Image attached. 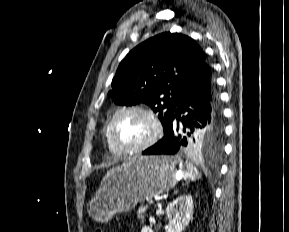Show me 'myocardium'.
<instances>
[{
  "mask_svg": "<svg viewBox=\"0 0 289 232\" xmlns=\"http://www.w3.org/2000/svg\"><path fill=\"white\" fill-rule=\"evenodd\" d=\"M127 112H138L143 114L150 122L151 127H152V131L150 136L148 137V139L146 141H144L143 143L136 145V146H123L121 144H119L114 136V126H115V122L117 120V118L123 114V113H127ZM162 124L160 119L158 118V116L156 115V113L151 110L150 108L143 106V105H138V104H134V105H128V106H124L119 108L112 116V118L109 121V125H108V136L109 139L112 143V145L121 153H140L143 152L147 149H149L150 147H152L153 145H155L161 138L162 136Z\"/></svg>",
  "mask_w": 289,
  "mask_h": 232,
  "instance_id": "f54148a6",
  "label": "myocardium"
}]
</instances>
